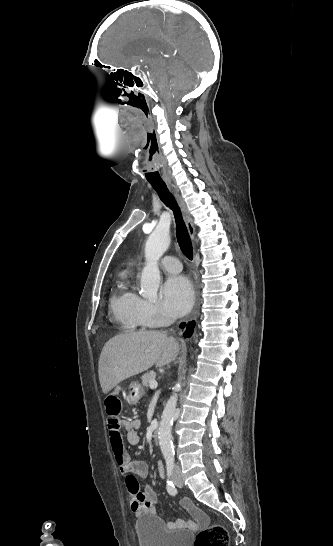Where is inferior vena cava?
Wrapping results in <instances>:
<instances>
[{"instance_id":"inferior-vena-cava-1","label":"inferior vena cava","mask_w":333,"mask_h":546,"mask_svg":"<svg viewBox=\"0 0 333 546\" xmlns=\"http://www.w3.org/2000/svg\"><path fill=\"white\" fill-rule=\"evenodd\" d=\"M171 323H172V321L170 319H166V321H165L166 325H170Z\"/></svg>"}]
</instances>
